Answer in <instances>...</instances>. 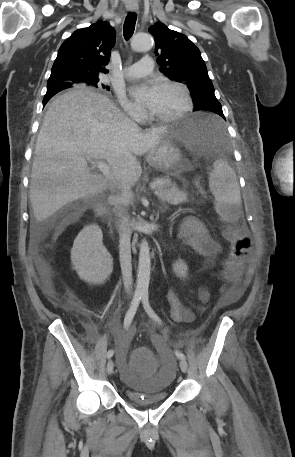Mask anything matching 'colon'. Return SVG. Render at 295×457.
I'll use <instances>...</instances> for the list:
<instances>
[{"instance_id":"colon-1","label":"colon","mask_w":295,"mask_h":457,"mask_svg":"<svg viewBox=\"0 0 295 457\" xmlns=\"http://www.w3.org/2000/svg\"><path fill=\"white\" fill-rule=\"evenodd\" d=\"M230 244L229 256L224 263V277L235 282L249 254L252 240L241 228L228 227L224 232ZM152 346H133L131 352L132 372H155V357Z\"/></svg>"}]
</instances>
